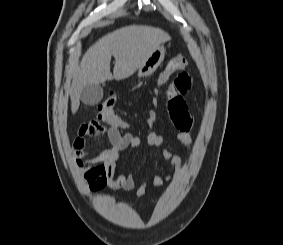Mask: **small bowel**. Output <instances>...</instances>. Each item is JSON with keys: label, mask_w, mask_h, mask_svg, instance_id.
Returning a JSON list of instances; mask_svg holds the SVG:
<instances>
[{"label": "small bowel", "mask_w": 283, "mask_h": 245, "mask_svg": "<svg viewBox=\"0 0 283 245\" xmlns=\"http://www.w3.org/2000/svg\"><path fill=\"white\" fill-rule=\"evenodd\" d=\"M191 86L190 74L181 72L172 81L167 92V110L175 129L174 137L188 150L192 148L193 144L190 130L194 123V117L188 111L184 95L188 93ZM103 123L106 122L98 119L82 124L72 146L75 164L91 191L96 192L108 187L113 190H134L138 196H142L146 192L148 181L154 186H163L169 181L176 182L181 178L183 173L181 157L174 155L164 146L167 136L157 132L148 134L147 143L150 147L158 148L161 156L169 161L168 173L166 175L152 174L138 186L135 174L121 173L115 178L116 163L120 152L137 148L141 143V138L131 132L122 135L118 127ZM96 134H104L108 140V146L98 156L89 159L85 152L86 138Z\"/></svg>", "instance_id": "c3829d8e"}]
</instances>
